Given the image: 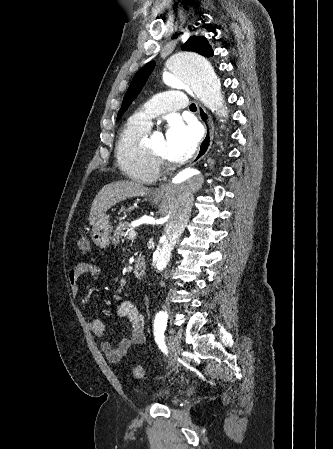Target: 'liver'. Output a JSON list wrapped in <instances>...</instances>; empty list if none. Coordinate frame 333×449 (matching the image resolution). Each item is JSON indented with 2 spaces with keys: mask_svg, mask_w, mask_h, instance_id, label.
Masks as SVG:
<instances>
[{
  "mask_svg": "<svg viewBox=\"0 0 333 449\" xmlns=\"http://www.w3.org/2000/svg\"><path fill=\"white\" fill-rule=\"evenodd\" d=\"M150 190L134 181H115L105 185L96 195L90 210V225L117 203L132 197L146 196Z\"/></svg>",
  "mask_w": 333,
  "mask_h": 449,
  "instance_id": "obj_1",
  "label": "liver"
}]
</instances>
